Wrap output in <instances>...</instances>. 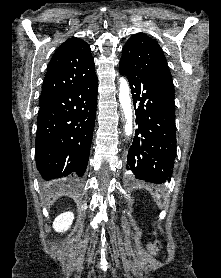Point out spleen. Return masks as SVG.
Listing matches in <instances>:
<instances>
[{
  "label": "spleen",
  "instance_id": "obj_1",
  "mask_svg": "<svg viewBox=\"0 0 221 278\" xmlns=\"http://www.w3.org/2000/svg\"><path fill=\"white\" fill-rule=\"evenodd\" d=\"M155 197H156V199H160V195H158V194H156V196H154V199H155Z\"/></svg>",
  "mask_w": 221,
  "mask_h": 278
}]
</instances>
